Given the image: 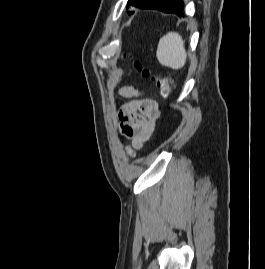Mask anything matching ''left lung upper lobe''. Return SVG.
Segmentation results:
<instances>
[{
	"mask_svg": "<svg viewBox=\"0 0 265 269\" xmlns=\"http://www.w3.org/2000/svg\"><path fill=\"white\" fill-rule=\"evenodd\" d=\"M146 0H129L128 1V6H127V8L129 7V6H134V7H136V8H138L141 4H143L144 2H145Z\"/></svg>",
	"mask_w": 265,
	"mask_h": 269,
	"instance_id": "1",
	"label": "left lung upper lobe"
}]
</instances>
